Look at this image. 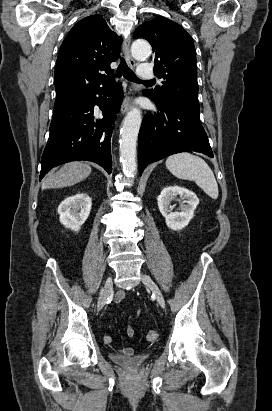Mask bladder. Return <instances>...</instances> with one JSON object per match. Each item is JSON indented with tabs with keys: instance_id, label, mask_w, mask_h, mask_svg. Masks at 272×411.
Masks as SVG:
<instances>
[{
	"instance_id": "31cf9c89",
	"label": "bladder",
	"mask_w": 272,
	"mask_h": 411,
	"mask_svg": "<svg viewBox=\"0 0 272 411\" xmlns=\"http://www.w3.org/2000/svg\"><path fill=\"white\" fill-rule=\"evenodd\" d=\"M150 357L149 353H141L134 356L113 355L112 361L126 370L136 371L143 367Z\"/></svg>"
}]
</instances>
